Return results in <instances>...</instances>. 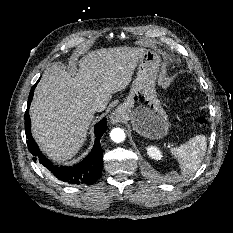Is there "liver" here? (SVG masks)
I'll list each match as a JSON object with an SVG mask.
<instances>
[{
    "label": "liver",
    "mask_w": 233,
    "mask_h": 233,
    "mask_svg": "<svg viewBox=\"0 0 233 233\" xmlns=\"http://www.w3.org/2000/svg\"><path fill=\"white\" fill-rule=\"evenodd\" d=\"M143 52L134 47L103 48L84 55L75 76L58 64L44 71L30 117L33 137L46 155L61 163L78 153L94 113L102 112L112 94L129 85Z\"/></svg>",
    "instance_id": "liver-1"
}]
</instances>
